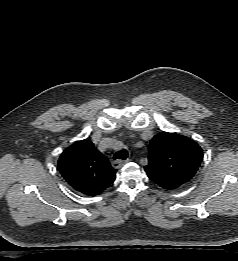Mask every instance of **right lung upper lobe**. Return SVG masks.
Returning <instances> with one entry per match:
<instances>
[{"label":"right lung upper lobe","mask_w":238,"mask_h":261,"mask_svg":"<svg viewBox=\"0 0 238 261\" xmlns=\"http://www.w3.org/2000/svg\"><path fill=\"white\" fill-rule=\"evenodd\" d=\"M58 167L63 178L78 192L95 196L116 177L106 157L89 140L75 142L61 154Z\"/></svg>","instance_id":"1"}]
</instances>
